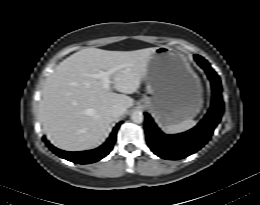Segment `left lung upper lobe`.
Masks as SVG:
<instances>
[{"mask_svg":"<svg viewBox=\"0 0 260 205\" xmlns=\"http://www.w3.org/2000/svg\"><path fill=\"white\" fill-rule=\"evenodd\" d=\"M199 58H201V60H205L204 58H202L201 56H199ZM206 61V60H205ZM207 62V61H206Z\"/></svg>","mask_w":260,"mask_h":205,"instance_id":"1","label":"left lung upper lobe"}]
</instances>
